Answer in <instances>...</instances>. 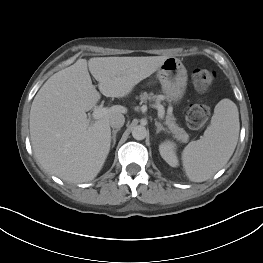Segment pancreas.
Listing matches in <instances>:
<instances>
[{"label": "pancreas", "instance_id": "1", "mask_svg": "<svg viewBox=\"0 0 263 263\" xmlns=\"http://www.w3.org/2000/svg\"><path fill=\"white\" fill-rule=\"evenodd\" d=\"M163 99H164V96L154 95L153 93L148 94V93L144 92L140 95V100L142 102H146L147 100H149V101H154L158 104ZM165 124L167 125L169 132L173 134V137L176 140H178L182 143L188 142L189 135L185 132V130L183 128H180L176 124L175 118L172 114H168L166 116Z\"/></svg>", "mask_w": 263, "mask_h": 263}]
</instances>
